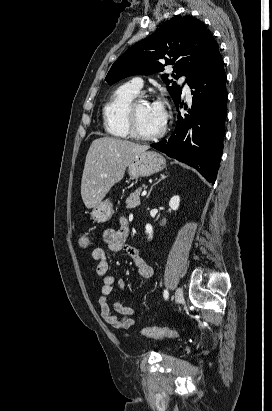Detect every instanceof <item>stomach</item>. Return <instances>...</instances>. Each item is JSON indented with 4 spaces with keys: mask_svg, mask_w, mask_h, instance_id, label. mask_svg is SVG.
I'll use <instances>...</instances> for the list:
<instances>
[{
    "mask_svg": "<svg viewBox=\"0 0 272 411\" xmlns=\"http://www.w3.org/2000/svg\"><path fill=\"white\" fill-rule=\"evenodd\" d=\"M166 165L164 157L155 151H145L135 156L126 166L128 175L136 179L147 177L161 171ZM113 215V205L109 200L101 202L91 212V219L96 223H105Z\"/></svg>",
    "mask_w": 272,
    "mask_h": 411,
    "instance_id": "stomach-1",
    "label": "stomach"
}]
</instances>
